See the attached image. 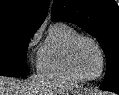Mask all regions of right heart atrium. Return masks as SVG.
<instances>
[{"label":"right heart atrium","instance_id":"obj_1","mask_svg":"<svg viewBox=\"0 0 119 95\" xmlns=\"http://www.w3.org/2000/svg\"><path fill=\"white\" fill-rule=\"evenodd\" d=\"M39 38H40V31H36L28 40L27 43L28 48L34 47L37 44Z\"/></svg>","mask_w":119,"mask_h":95}]
</instances>
